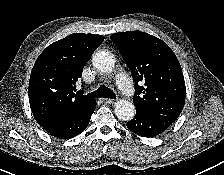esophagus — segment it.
I'll list each match as a JSON object with an SVG mask.
<instances>
[{
    "label": "esophagus",
    "instance_id": "esophagus-1",
    "mask_svg": "<svg viewBox=\"0 0 224 175\" xmlns=\"http://www.w3.org/2000/svg\"><path fill=\"white\" fill-rule=\"evenodd\" d=\"M102 101L105 104H113L115 100L112 98H103Z\"/></svg>",
    "mask_w": 224,
    "mask_h": 175
}]
</instances>
